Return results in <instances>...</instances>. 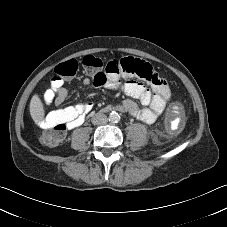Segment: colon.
I'll use <instances>...</instances> for the list:
<instances>
[{
	"mask_svg": "<svg viewBox=\"0 0 227 227\" xmlns=\"http://www.w3.org/2000/svg\"><path fill=\"white\" fill-rule=\"evenodd\" d=\"M82 64L93 73V80L97 85H102L108 77L103 71V61L94 55H85L82 58ZM78 70V62L75 59H69L63 63L58 64L54 68V75L52 82L55 87H60L63 83L62 77L74 76ZM105 71L109 74V79H114L120 76L122 72L137 75L143 79L152 78L153 68L150 64L137 61L134 59H126L121 62L112 60L105 66ZM174 109L178 110L179 106L176 104ZM63 117H68L64 115ZM52 131L45 132L42 140L49 146H54L60 143L65 137V124L62 122L56 123L52 126Z\"/></svg>",
	"mask_w": 227,
	"mask_h": 227,
	"instance_id": "colon-1",
	"label": "colon"
}]
</instances>
